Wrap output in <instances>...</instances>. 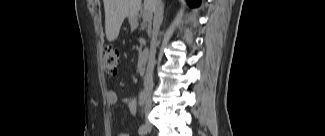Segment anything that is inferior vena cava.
Masks as SVG:
<instances>
[{
  "label": "inferior vena cava",
  "instance_id": "602c4592",
  "mask_svg": "<svg viewBox=\"0 0 325 136\" xmlns=\"http://www.w3.org/2000/svg\"><path fill=\"white\" fill-rule=\"evenodd\" d=\"M152 4V11L154 12V20H153V31L155 37L157 36L159 32L160 25L163 20V4L162 0H150ZM157 42L155 41L153 44V49L151 53V59L149 63V67L147 70V74L144 79V89H145V95L148 100L151 98V93L153 89V70H154V65H155V52H156V47Z\"/></svg>",
  "mask_w": 325,
  "mask_h": 136
}]
</instances>
